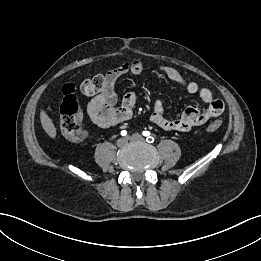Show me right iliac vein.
Returning a JSON list of instances; mask_svg holds the SVG:
<instances>
[{
	"label": "right iliac vein",
	"mask_w": 261,
	"mask_h": 261,
	"mask_svg": "<svg viewBox=\"0 0 261 261\" xmlns=\"http://www.w3.org/2000/svg\"><path fill=\"white\" fill-rule=\"evenodd\" d=\"M127 143V139L126 138H120L117 140V146L122 147Z\"/></svg>",
	"instance_id": "obj_1"
}]
</instances>
